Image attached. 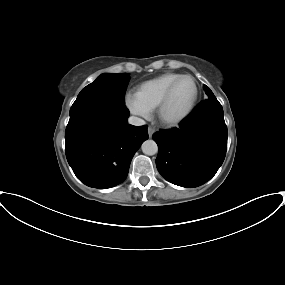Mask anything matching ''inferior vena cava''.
Returning a JSON list of instances; mask_svg holds the SVG:
<instances>
[{
  "label": "inferior vena cava",
  "mask_w": 285,
  "mask_h": 285,
  "mask_svg": "<svg viewBox=\"0 0 285 285\" xmlns=\"http://www.w3.org/2000/svg\"><path fill=\"white\" fill-rule=\"evenodd\" d=\"M129 124L134 125V126H142L145 124V121L141 118L131 116L128 119Z\"/></svg>",
  "instance_id": "1"
}]
</instances>
